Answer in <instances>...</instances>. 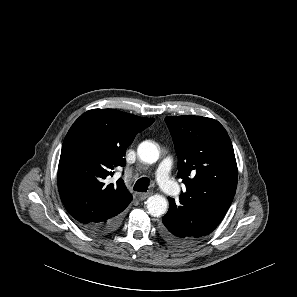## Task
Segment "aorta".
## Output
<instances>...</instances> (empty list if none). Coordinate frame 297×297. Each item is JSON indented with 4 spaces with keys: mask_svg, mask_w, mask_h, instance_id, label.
Segmentation results:
<instances>
[{
    "mask_svg": "<svg viewBox=\"0 0 297 297\" xmlns=\"http://www.w3.org/2000/svg\"><path fill=\"white\" fill-rule=\"evenodd\" d=\"M137 154L145 163H155L159 158L156 145L150 141L142 142L137 149ZM167 200L161 195H153L147 199V211L153 217L163 216L167 211Z\"/></svg>",
    "mask_w": 297,
    "mask_h": 297,
    "instance_id": "1",
    "label": "aorta"
}]
</instances>
